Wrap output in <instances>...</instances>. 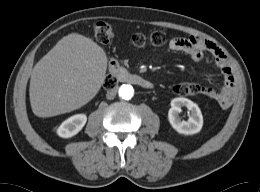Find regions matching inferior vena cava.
Returning a JSON list of instances; mask_svg holds the SVG:
<instances>
[{"instance_id": "1", "label": "inferior vena cava", "mask_w": 260, "mask_h": 192, "mask_svg": "<svg viewBox=\"0 0 260 192\" xmlns=\"http://www.w3.org/2000/svg\"><path fill=\"white\" fill-rule=\"evenodd\" d=\"M117 91L115 89H111L107 92L106 97L107 99L111 100L114 99L116 96Z\"/></svg>"}]
</instances>
